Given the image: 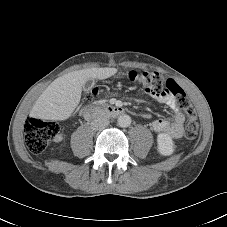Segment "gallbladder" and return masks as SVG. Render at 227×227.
<instances>
[{"label": "gallbladder", "mask_w": 227, "mask_h": 227, "mask_svg": "<svg viewBox=\"0 0 227 227\" xmlns=\"http://www.w3.org/2000/svg\"><path fill=\"white\" fill-rule=\"evenodd\" d=\"M94 80L93 79H90V80H88V81H86V83L83 85V89L85 90V91H88V90H90L93 86H94Z\"/></svg>", "instance_id": "gallbladder-1"}]
</instances>
